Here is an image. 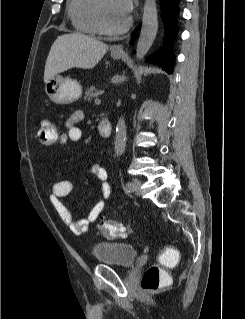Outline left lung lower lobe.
<instances>
[{"label": "left lung lower lobe", "mask_w": 245, "mask_h": 319, "mask_svg": "<svg viewBox=\"0 0 245 319\" xmlns=\"http://www.w3.org/2000/svg\"><path fill=\"white\" fill-rule=\"evenodd\" d=\"M160 2L163 21L165 24L164 44L158 52L147 58V61L149 63L159 65L163 70L171 73L174 61L172 45L174 38L177 35L176 18L179 13V0H160Z\"/></svg>", "instance_id": "1"}]
</instances>
